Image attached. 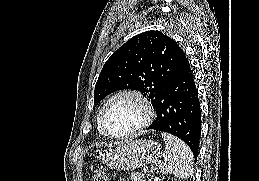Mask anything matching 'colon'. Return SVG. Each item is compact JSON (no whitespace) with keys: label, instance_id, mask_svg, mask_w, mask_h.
<instances>
[{"label":"colon","instance_id":"5ec220e1","mask_svg":"<svg viewBox=\"0 0 259 181\" xmlns=\"http://www.w3.org/2000/svg\"><path fill=\"white\" fill-rule=\"evenodd\" d=\"M91 181H109L108 175L101 169L95 170L91 175Z\"/></svg>","mask_w":259,"mask_h":181}]
</instances>
